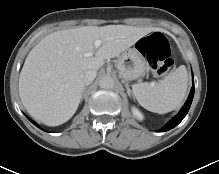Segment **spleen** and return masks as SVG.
<instances>
[{
    "mask_svg": "<svg viewBox=\"0 0 219 174\" xmlns=\"http://www.w3.org/2000/svg\"><path fill=\"white\" fill-rule=\"evenodd\" d=\"M187 70L178 67L158 83H137L132 91L139 104L145 109L159 114L175 110L183 101L187 84Z\"/></svg>",
    "mask_w": 219,
    "mask_h": 174,
    "instance_id": "obj_1",
    "label": "spleen"
}]
</instances>
